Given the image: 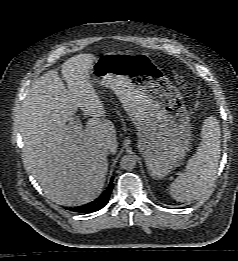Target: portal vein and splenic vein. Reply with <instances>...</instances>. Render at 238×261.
Wrapping results in <instances>:
<instances>
[{
    "label": "portal vein and splenic vein",
    "mask_w": 238,
    "mask_h": 261,
    "mask_svg": "<svg viewBox=\"0 0 238 261\" xmlns=\"http://www.w3.org/2000/svg\"><path fill=\"white\" fill-rule=\"evenodd\" d=\"M69 125L72 130H78L82 128L81 121L79 119L71 120Z\"/></svg>",
    "instance_id": "portal-vein-and-splenic-vein-1"
}]
</instances>
